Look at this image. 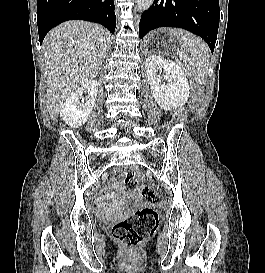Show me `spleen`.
Instances as JSON below:
<instances>
[{"instance_id": "3e777b00", "label": "spleen", "mask_w": 265, "mask_h": 273, "mask_svg": "<svg viewBox=\"0 0 265 273\" xmlns=\"http://www.w3.org/2000/svg\"><path fill=\"white\" fill-rule=\"evenodd\" d=\"M180 47V53H188V61L194 80L203 84L207 80L209 66L208 46L198 36L182 29H169Z\"/></svg>"}]
</instances>
